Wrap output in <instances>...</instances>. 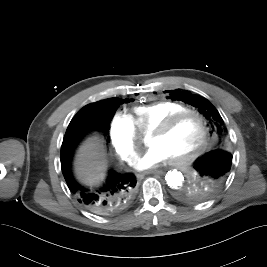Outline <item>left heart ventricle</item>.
Returning <instances> with one entry per match:
<instances>
[{
    "label": "left heart ventricle",
    "instance_id": "1",
    "mask_svg": "<svg viewBox=\"0 0 267 267\" xmlns=\"http://www.w3.org/2000/svg\"><path fill=\"white\" fill-rule=\"evenodd\" d=\"M202 137V126L194 116L185 117L164 135H152L151 146L161 147L169 159L181 158L191 154Z\"/></svg>",
    "mask_w": 267,
    "mask_h": 267
}]
</instances>
